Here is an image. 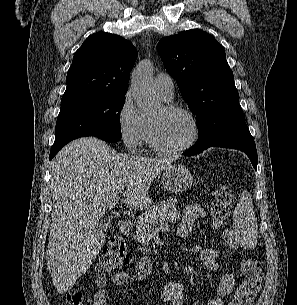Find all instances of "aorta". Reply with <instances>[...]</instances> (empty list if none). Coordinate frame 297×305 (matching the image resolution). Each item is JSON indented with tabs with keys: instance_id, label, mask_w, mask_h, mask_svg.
Wrapping results in <instances>:
<instances>
[{
	"instance_id": "obj_1",
	"label": "aorta",
	"mask_w": 297,
	"mask_h": 305,
	"mask_svg": "<svg viewBox=\"0 0 297 305\" xmlns=\"http://www.w3.org/2000/svg\"><path fill=\"white\" fill-rule=\"evenodd\" d=\"M153 66L149 60L141 61L131 74V89L137 107L144 113H154L159 108L153 81Z\"/></svg>"
}]
</instances>
